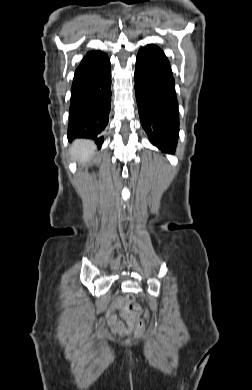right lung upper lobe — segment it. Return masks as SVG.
<instances>
[{"label": "right lung upper lobe", "mask_w": 252, "mask_h": 390, "mask_svg": "<svg viewBox=\"0 0 252 390\" xmlns=\"http://www.w3.org/2000/svg\"><path fill=\"white\" fill-rule=\"evenodd\" d=\"M110 65L109 58L101 51H90L76 69L74 79L96 75L104 71Z\"/></svg>", "instance_id": "cb5924a9"}]
</instances>
